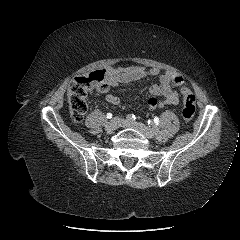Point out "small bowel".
Instances as JSON below:
<instances>
[{
	"mask_svg": "<svg viewBox=\"0 0 240 240\" xmlns=\"http://www.w3.org/2000/svg\"><path fill=\"white\" fill-rule=\"evenodd\" d=\"M107 73L106 100L111 104H118L120 98L113 89L120 83H127L144 77H159V83L149 88L148 106L157 109L166 105H177L179 97L173 86L182 84L183 77L175 72L166 71L161 74L157 67L129 66L109 67ZM157 97H162L158 100Z\"/></svg>",
	"mask_w": 240,
	"mask_h": 240,
	"instance_id": "obj_1",
	"label": "small bowel"
}]
</instances>
